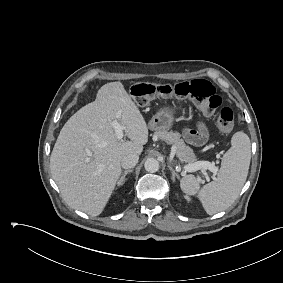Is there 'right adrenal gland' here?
Segmentation results:
<instances>
[{"label":"right adrenal gland","mask_w":283,"mask_h":283,"mask_svg":"<svg viewBox=\"0 0 283 283\" xmlns=\"http://www.w3.org/2000/svg\"><path fill=\"white\" fill-rule=\"evenodd\" d=\"M133 172V169H129V170H125L124 173L122 174L121 178L119 179V181L117 182L118 186H121L124 183L125 177L128 173Z\"/></svg>","instance_id":"2a0ac1e0"}]
</instances>
